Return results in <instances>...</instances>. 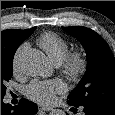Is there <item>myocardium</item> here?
Returning a JSON list of instances; mask_svg holds the SVG:
<instances>
[{
	"mask_svg": "<svg viewBox=\"0 0 115 115\" xmlns=\"http://www.w3.org/2000/svg\"><path fill=\"white\" fill-rule=\"evenodd\" d=\"M60 72L69 80H79L87 69V59L83 51H69L59 64Z\"/></svg>",
	"mask_w": 115,
	"mask_h": 115,
	"instance_id": "f54148a6",
	"label": "myocardium"
}]
</instances>
